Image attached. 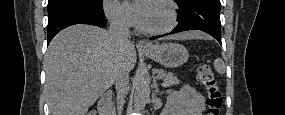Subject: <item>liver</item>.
Masks as SVG:
<instances>
[{
	"label": "liver",
	"mask_w": 285,
	"mask_h": 115,
	"mask_svg": "<svg viewBox=\"0 0 285 115\" xmlns=\"http://www.w3.org/2000/svg\"><path fill=\"white\" fill-rule=\"evenodd\" d=\"M204 37L198 31L174 36L180 40ZM136 61L134 44H117L104 29L77 24L62 30L50 42L44 60L51 114L86 115L112 85L116 65L123 63L130 72Z\"/></svg>",
	"instance_id": "6515ba94"
}]
</instances>
